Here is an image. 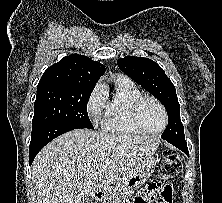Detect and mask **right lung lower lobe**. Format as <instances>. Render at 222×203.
<instances>
[{"label":"right lung lower lobe","instance_id":"obj_1","mask_svg":"<svg viewBox=\"0 0 222 203\" xmlns=\"http://www.w3.org/2000/svg\"><path fill=\"white\" fill-rule=\"evenodd\" d=\"M83 128L71 123H54L32 129L31 141L29 146L30 165L38 152L51 140L68 131Z\"/></svg>","mask_w":222,"mask_h":203}]
</instances>
